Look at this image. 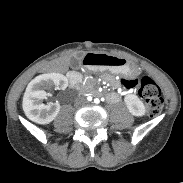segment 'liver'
<instances>
[{"instance_id":"liver-1","label":"liver","mask_w":183,"mask_h":183,"mask_svg":"<svg viewBox=\"0 0 183 183\" xmlns=\"http://www.w3.org/2000/svg\"><path fill=\"white\" fill-rule=\"evenodd\" d=\"M67 69H68L67 61H62L56 67V70L59 71V72H65V71H67Z\"/></svg>"}]
</instances>
